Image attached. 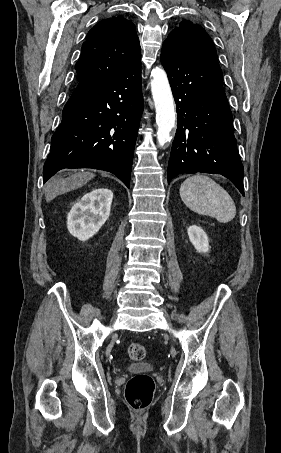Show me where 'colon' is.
I'll return each instance as SVG.
<instances>
[{
    "instance_id": "obj_1",
    "label": "colon",
    "mask_w": 281,
    "mask_h": 453,
    "mask_svg": "<svg viewBox=\"0 0 281 453\" xmlns=\"http://www.w3.org/2000/svg\"><path fill=\"white\" fill-rule=\"evenodd\" d=\"M145 347L134 344L128 350V358L133 363H142L145 359ZM154 393L153 379L148 374H133L125 387V400L134 412L146 411L152 402Z\"/></svg>"
}]
</instances>
